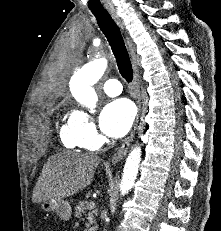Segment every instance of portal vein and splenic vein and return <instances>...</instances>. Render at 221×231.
<instances>
[{
    "mask_svg": "<svg viewBox=\"0 0 221 231\" xmlns=\"http://www.w3.org/2000/svg\"><path fill=\"white\" fill-rule=\"evenodd\" d=\"M88 207H89V209L94 208V207H95V203H94V202H90V203L88 204Z\"/></svg>",
    "mask_w": 221,
    "mask_h": 231,
    "instance_id": "obj_1",
    "label": "portal vein and splenic vein"
}]
</instances>
